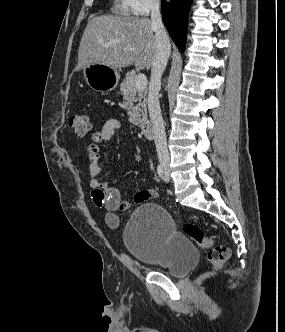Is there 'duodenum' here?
<instances>
[{
  "mask_svg": "<svg viewBox=\"0 0 285 332\" xmlns=\"http://www.w3.org/2000/svg\"><path fill=\"white\" fill-rule=\"evenodd\" d=\"M141 132L144 137L150 139L153 138L154 135V130L153 126L150 122H145L141 125Z\"/></svg>",
  "mask_w": 285,
  "mask_h": 332,
  "instance_id": "1",
  "label": "duodenum"
}]
</instances>
